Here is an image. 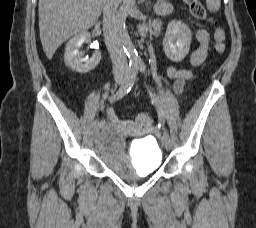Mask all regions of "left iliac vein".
I'll return each instance as SVG.
<instances>
[{
  "label": "left iliac vein",
  "mask_w": 256,
  "mask_h": 228,
  "mask_svg": "<svg viewBox=\"0 0 256 228\" xmlns=\"http://www.w3.org/2000/svg\"><path fill=\"white\" fill-rule=\"evenodd\" d=\"M162 144L166 149H170L171 147V139L168 135H163L162 136Z\"/></svg>",
  "instance_id": "4c4485c4"
}]
</instances>
